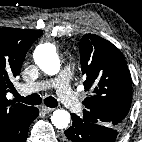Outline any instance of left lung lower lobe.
I'll use <instances>...</instances> for the list:
<instances>
[{"mask_svg": "<svg viewBox=\"0 0 142 142\" xmlns=\"http://www.w3.org/2000/svg\"><path fill=\"white\" fill-rule=\"evenodd\" d=\"M73 123L65 131L67 142H115L118 129L95 123H84L79 116L71 114Z\"/></svg>", "mask_w": 142, "mask_h": 142, "instance_id": "left-lung-lower-lobe-1", "label": "left lung lower lobe"}]
</instances>
